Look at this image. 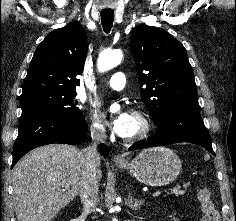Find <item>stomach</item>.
Masks as SVG:
<instances>
[{
  "label": "stomach",
  "mask_w": 236,
  "mask_h": 221,
  "mask_svg": "<svg viewBox=\"0 0 236 221\" xmlns=\"http://www.w3.org/2000/svg\"><path fill=\"white\" fill-rule=\"evenodd\" d=\"M138 181L149 186H164L173 182L180 173L181 161L169 148L155 147L141 151L134 159L118 163Z\"/></svg>",
  "instance_id": "0dacf381"
}]
</instances>
